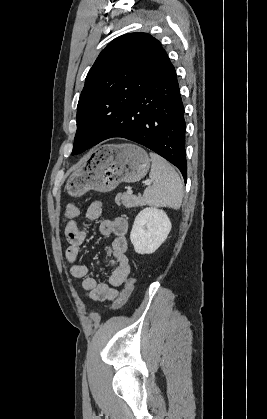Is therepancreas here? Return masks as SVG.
Here are the masks:
<instances>
[{
    "instance_id": "pancreas-1",
    "label": "pancreas",
    "mask_w": 267,
    "mask_h": 419,
    "mask_svg": "<svg viewBox=\"0 0 267 419\" xmlns=\"http://www.w3.org/2000/svg\"><path fill=\"white\" fill-rule=\"evenodd\" d=\"M115 203L118 206H125L126 208L139 207L144 205L141 196H135L128 193H119L115 197Z\"/></svg>"
}]
</instances>
